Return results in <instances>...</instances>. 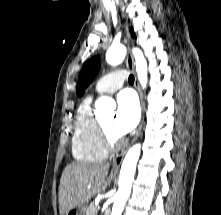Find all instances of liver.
<instances>
[{"mask_svg": "<svg viewBox=\"0 0 221 215\" xmlns=\"http://www.w3.org/2000/svg\"><path fill=\"white\" fill-rule=\"evenodd\" d=\"M107 162H75L65 167L59 185V213L85 206L110 183Z\"/></svg>", "mask_w": 221, "mask_h": 215, "instance_id": "obj_1", "label": "liver"}]
</instances>
